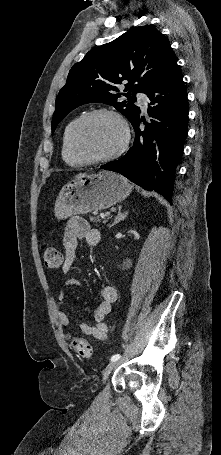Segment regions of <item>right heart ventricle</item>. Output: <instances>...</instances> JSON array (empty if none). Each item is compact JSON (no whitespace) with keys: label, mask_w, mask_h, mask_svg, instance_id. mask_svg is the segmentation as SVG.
Listing matches in <instances>:
<instances>
[{"label":"right heart ventricle","mask_w":221,"mask_h":455,"mask_svg":"<svg viewBox=\"0 0 221 455\" xmlns=\"http://www.w3.org/2000/svg\"><path fill=\"white\" fill-rule=\"evenodd\" d=\"M78 118L79 116H75L67 123L62 136V157L65 162L72 167H80L85 164V162L74 152L71 142L72 128Z\"/></svg>","instance_id":"1"}]
</instances>
